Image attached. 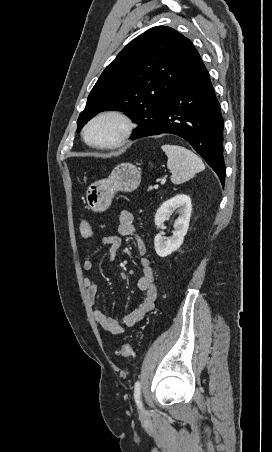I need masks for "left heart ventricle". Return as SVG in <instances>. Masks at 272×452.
<instances>
[{
    "mask_svg": "<svg viewBox=\"0 0 272 452\" xmlns=\"http://www.w3.org/2000/svg\"><path fill=\"white\" fill-rule=\"evenodd\" d=\"M118 132L119 125L115 121L103 120L90 128L88 138L92 142H108L113 140Z\"/></svg>",
    "mask_w": 272,
    "mask_h": 452,
    "instance_id": "1",
    "label": "left heart ventricle"
}]
</instances>
